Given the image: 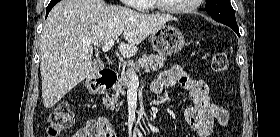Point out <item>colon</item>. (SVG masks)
Instances as JSON below:
<instances>
[{
	"instance_id": "5ec220e1",
	"label": "colon",
	"mask_w": 280,
	"mask_h": 137,
	"mask_svg": "<svg viewBox=\"0 0 280 137\" xmlns=\"http://www.w3.org/2000/svg\"><path fill=\"white\" fill-rule=\"evenodd\" d=\"M211 67L215 73L222 74L229 68V60L225 53H215L211 60ZM73 125V114L68 105L61 101L55 105L49 116L47 133L50 137H58ZM90 132L93 136L111 137L110 130L105 125L94 121L90 124Z\"/></svg>"
}]
</instances>
